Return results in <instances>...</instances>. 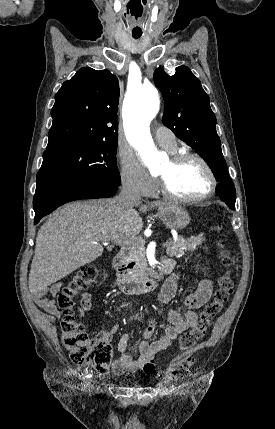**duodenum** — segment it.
<instances>
[{"label": "duodenum", "mask_w": 275, "mask_h": 429, "mask_svg": "<svg viewBox=\"0 0 275 429\" xmlns=\"http://www.w3.org/2000/svg\"><path fill=\"white\" fill-rule=\"evenodd\" d=\"M129 256V250L123 248L119 250L113 260V267L117 275V286L125 294L141 293L156 289L161 278L172 270L170 263L163 261L148 276L134 277L128 272Z\"/></svg>", "instance_id": "410a0bca"}]
</instances>
